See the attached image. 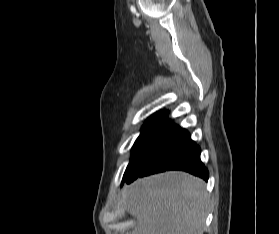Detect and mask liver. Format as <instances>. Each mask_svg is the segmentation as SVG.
Here are the masks:
<instances>
[{
  "label": "liver",
  "mask_w": 279,
  "mask_h": 234,
  "mask_svg": "<svg viewBox=\"0 0 279 234\" xmlns=\"http://www.w3.org/2000/svg\"><path fill=\"white\" fill-rule=\"evenodd\" d=\"M124 206L137 219L131 234H203L208 194L203 180L166 172L132 183Z\"/></svg>",
  "instance_id": "1"
}]
</instances>
